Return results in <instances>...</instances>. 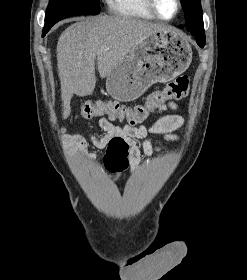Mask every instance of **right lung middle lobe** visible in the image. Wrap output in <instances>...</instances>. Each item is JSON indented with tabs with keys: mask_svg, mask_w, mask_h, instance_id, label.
Listing matches in <instances>:
<instances>
[{
	"mask_svg": "<svg viewBox=\"0 0 247 280\" xmlns=\"http://www.w3.org/2000/svg\"><path fill=\"white\" fill-rule=\"evenodd\" d=\"M99 13V0H50L45 14L44 28H50L67 17Z\"/></svg>",
	"mask_w": 247,
	"mask_h": 280,
	"instance_id": "dd1d6c3e",
	"label": "right lung middle lobe"
}]
</instances>
